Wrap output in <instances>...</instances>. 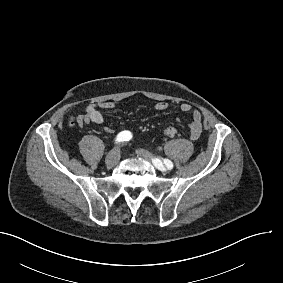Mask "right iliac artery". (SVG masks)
<instances>
[{"mask_svg": "<svg viewBox=\"0 0 283 283\" xmlns=\"http://www.w3.org/2000/svg\"><path fill=\"white\" fill-rule=\"evenodd\" d=\"M132 138V134L130 131H122L117 135V142L129 141Z\"/></svg>", "mask_w": 283, "mask_h": 283, "instance_id": "obj_1", "label": "right iliac artery"}]
</instances>
